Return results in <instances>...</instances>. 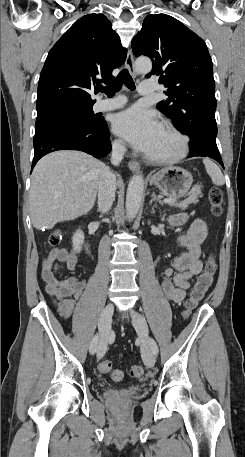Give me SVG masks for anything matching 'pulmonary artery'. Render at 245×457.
Wrapping results in <instances>:
<instances>
[{
  "label": "pulmonary artery",
  "mask_w": 245,
  "mask_h": 457,
  "mask_svg": "<svg viewBox=\"0 0 245 457\" xmlns=\"http://www.w3.org/2000/svg\"><path fill=\"white\" fill-rule=\"evenodd\" d=\"M137 93L138 95H156L157 88L155 86V82L153 80H139ZM125 102L126 100L123 97L102 99L98 100L94 104L93 109L95 112L117 109L120 106H122Z\"/></svg>",
  "instance_id": "e3ab8cb5"
}]
</instances>
